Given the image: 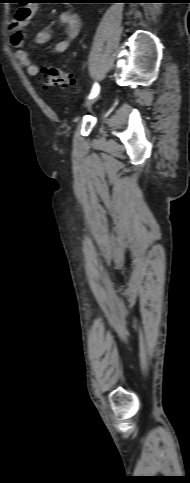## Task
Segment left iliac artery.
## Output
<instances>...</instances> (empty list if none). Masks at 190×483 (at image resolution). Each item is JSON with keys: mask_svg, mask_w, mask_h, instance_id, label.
Here are the masks:
<instances>
[{"mask_svg": "<svg viewBox=\"0 0 190 483\" xmlns=\"http://www.w3.org/2000/svg\"><path fill=\"white\" fill-rule=\"evenodd\" d=\"M99 90H100V87H99L98 83H95L93 85V88H92L91 94L89 96V99L95 98L98 95Z\"/></svg>", "mask_w": 190, "mask_h": 483, "instance_id": "left-iliac-artery-1", "label": "left iliac artery"}]
</instances>
